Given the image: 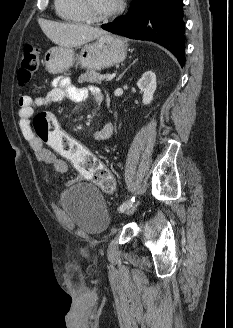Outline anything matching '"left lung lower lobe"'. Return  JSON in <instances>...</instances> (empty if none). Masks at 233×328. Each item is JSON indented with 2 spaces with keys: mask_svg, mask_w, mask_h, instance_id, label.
I'll list each match as a JSON object with an SVG mask.
<instances>
[{
  "mask_svg": "<svg viewBox=\"0 0 233 328\" xmlns=\"http://www.w3.org/2000/svg\"><path fill=\"white\" fill-rule=\"evenodd\" d=\"M106 31L158 43L185 62L182 0H132L127 14L103 24Z\"/></svg>",
  "mask_w": 233,
  "mask_h": 328,
  "instance_id": "left-lung-lower-lobe-1",
  "label": "left lung lower lobe"
}]
</instances>
